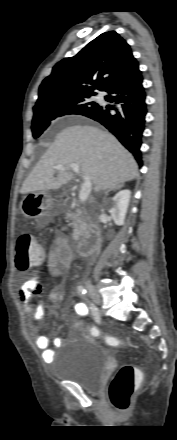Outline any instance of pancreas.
<instances>
[{
  "mask_svg": "<svg viewBox=\"0 0 177 440\" xmlns=\"http://www.w3.org/2000/svg\"><path fill=\"white\" fill-rule=\"evenodd\" d=\"M66 218L73 220V239L78 240L80 237L85 235L88 231L89 224L88 218L83 215V213L77 209L75 212L68 210L66 212Z\"/></svg>",
  "mask_w": 177,
  "mask_h": 440,
  "instance_id": "obj_1",
  "label": "pancreas"
}]
</instances>
